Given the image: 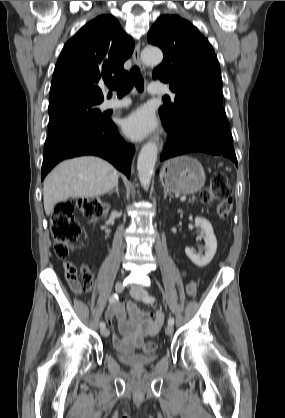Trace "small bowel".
Segmentation results:
<instances>
[{
  "label": "small bowel",
  "instance_id": "1",
  "mask_svg": "<svg viewBox=\"0 0 285 418\" xmlns=\"http://www.w3.org/2000/svg\"><path fill=\"white\" fill-rule=\"evenodd\" d=\"M65 278L70 287L76 291L78 284H82L87 290L92 287V274L89 266L83 264L80 268L72 263L65 265ZM185 275V272H183ZM197 291V283L190 281L186 285V293L188 296L195 295ZM127 316L125 315V307L121 303H116L108 311V321L112 322L117 319L120 324L121 331L126 335V339H121L117 334H113L112 340L116 349L130 351L140 348L142 339L148 336H155L159 333L164 322V313L157 311L155 314H148L141 311L134 303H127Z\"/></svg>",
  "mask_w": 285,
  "mask_h": 418
}]
</instances>
